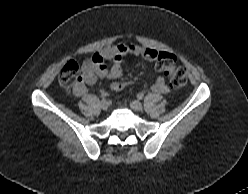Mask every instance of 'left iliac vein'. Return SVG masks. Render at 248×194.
<instances>
[{"instance_id":"4c4485c4","label":"left iliac vein","mask_w":248,"mask_h":194,"mask_svg":"<svg viewBox=\"0 0 248 194\" xmlns=\"http://www.w3.org/2000/svg\"><path fill=\"white\" fill-rule=\"evenodd\" d=\"M130 107L135 110V111H141L143 109L142 104L137 101V100H133L130 102Z\"/></svg>"}]
</instances>
